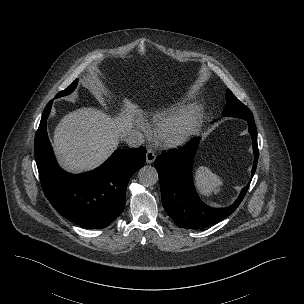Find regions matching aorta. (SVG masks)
<instances>
[{
	"label": "aorta",
	"instance_id": "1",
	"mask_svg": "<svg viewBox=\"0 0 304 304\" xmlns=\"http://www.w3.org/2000/svg\"><path fill=\"white\" fill-rule=\"evenodd\" d=\"M138 178L142 185L152 186L158 181V172L155 167L146 165L139 170Z\"/></svg>",
	"mask_w": 304,
	"mask_h": 304
}]
</instances>
